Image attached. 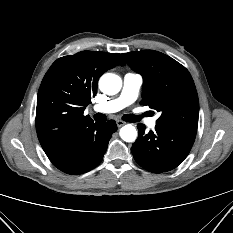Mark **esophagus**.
<instances>
[{
	"mask_svg": "<svg viewBox=\"0 0 233 233\" xmlns=\"http://www.w3.org/2000/svg\"><path fill=\"white\" fill-rule=\"evenodd\" d=\"M116 124H117L118 127H121V126H123L125 124V122L122 121V120H116Z\"/></svg>",
	"mask_w": 233,
	"mask_h": 233,
	"instance_id": "1",
	"label": "esophagus"
}]
</instances>
